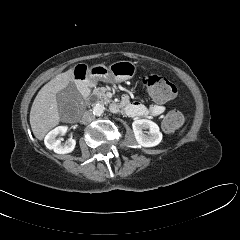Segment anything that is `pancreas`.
Here are the masks:
<instances>
[{
    "label": "pancreas",
    "mask_w": 240,
    "mask_h": 240,
    "mask_svg": "<svg viewBox=\"0 0 240 240\" xmlns=\"http://www.w3.org/2000/svg\"><path fill=\"white\" fill-rule=\"evenodd\" d=\"M106 89L103 87H98L95 88L92 92V95L96 96L101 102L103 103H109L110 100L109 98L106 96ZM87 103L90 104V99H87Z\"/></svg>",
    "instance_id": "pancreas-1"
}]
</instances>
